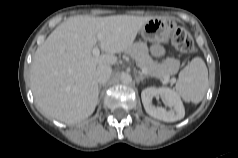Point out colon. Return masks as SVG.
Masks as SVG:
<instances>
[{"label":"colon","instance_id":"obj_1","mask_svg":"<svg viewBox=\"0 0 238 158\" xmlns=\"http://www.w3.org/2000/svg\"><path fill=\"white\" fill-rule=\"evenodd\" d=\"M172 43L178 51L184 54H191L195 46L191 35L183 28H176L172 34Z\"/></svg>","mask_w":238,"mask_h":158}]
</instances>
